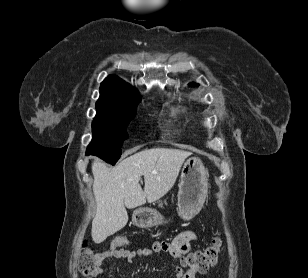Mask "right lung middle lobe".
<instances>
[{
    "mask_svg": "<svg viewBox=\"0 0 308 278\" xmlns=\"http://www.w3.org/2000/svg\"><path fill=\"white\" fill-rule=\"evenodd\" d=\"M132 118L94 120L92 122L93 139L87 147L86 155H96L114 165L121 156L120 148L128 137L126 127Z\"/></svg>",
    "mask_w": 308,
    "mask_h": 278,
    "instance_id": "obj_1",
    "label": "right lung middle lobe"
}]
</instances>
